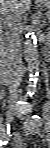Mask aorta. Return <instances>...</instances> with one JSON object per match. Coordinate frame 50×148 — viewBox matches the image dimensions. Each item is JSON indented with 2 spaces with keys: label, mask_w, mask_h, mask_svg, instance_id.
Instances as JSON below:
<instances>
[{
  "label": "aorta",
  "mask_w": 50,
  "mask_h": 148,
  "mask_svg": "<svg viewBox=\"0 0 50 148\" xmlns=\"http://www.w3.org/2000/svg\"><path fill=\"white\" fill-rule=\"evenodd\" d=\"M26 40L24 42V53L28 65L29 77L34 83L37 81L39 74V55L37 51V37L35 35L34 26H30L26 34ZM31 94L35 92V86L31 85L28 89Z\"/></svg>",
  "instance_id": "762f6f07"
}]
</instances>
